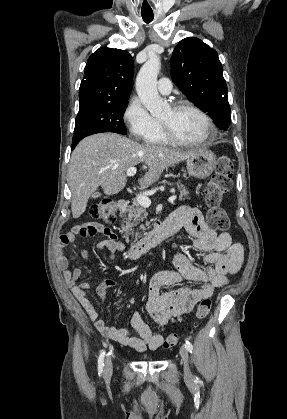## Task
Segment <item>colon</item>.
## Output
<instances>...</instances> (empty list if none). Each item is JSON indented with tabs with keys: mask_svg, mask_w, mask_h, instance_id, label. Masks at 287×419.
I'll return each mask as SVG.
<instances>
[{
	"mask_svg": "<svg viewBox=\"0 0 287 419\" xmlns=\"http://www.w3.org/2000/svg\"><path fill=\"white\" fill-rule=\"evenodd\" d=\"M233 162L227 155L219 156L212 179L205 187V201L208 207V223L212 229L226 230L229 227V218L225 210L220 206L222 197L232 187ZM94 218L105 223L113 224L116 221V204L112 198H104L96 203L91 211ZM210 299H202L197 307L196 316L204 319L211 310ZM181 339L178 333L168 335L163 342V347L168 349L175 346Z\"/></svg>",
	"mask_w": 287,
	"mask_h": 419,
	"instance_id": "1",
	"label": "colon"
}]
</instances>
